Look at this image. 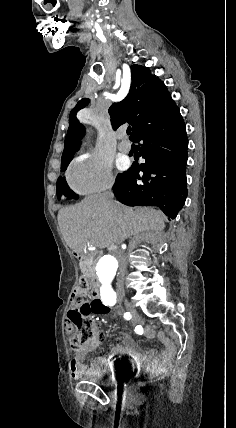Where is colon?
I'll use <instances>...</instances> for the list:
<instances>
[{
    "instance_id": "1",
    "label": "colon",
    "mask_w": 236,
    "mask_h": 428,
    "mask_svg": "<svg viewBox=\"0 0 236 428\" xmlns=\"http://www.w3.org/2000/svg\"><path fill=\"white\" fill-rule=\"evenodd\" d=\"M70 303L71 308L65 322L70 346L79 352H92L98 347L99 336L90 316L105 313L107 307L91 294L86 279L79 280L75 285Z\"/></svg>"
}]
</instances>
